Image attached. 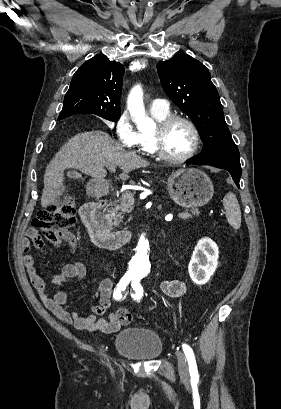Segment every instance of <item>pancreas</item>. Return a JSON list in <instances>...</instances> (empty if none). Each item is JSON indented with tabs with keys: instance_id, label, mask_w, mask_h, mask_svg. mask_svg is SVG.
<instances>
[{
	"instance_id": "obj_1",
	"label": "pancreas",
	"mask_w": 281,
	"mask_h": 409,
	"mask_svg": "<svg viewBox=\"0 0 281 409\" xmlns=\"http://www.w3.org/2000/svg\"><path fill=\"white\" fill-rule=\"evenodd\" d=\"M123 198L124 197L121 196V198H118V200H115V205H110V209L108 211V215H110V217H112L113 219L112 225H114V227H118V225L122 223L124 213H131L132 208H125L123 206ZM117 202H119V205H117ZM191 215H197L198 217L199 215L198 209H192Z\"/></svg>"
}]
</instances>
